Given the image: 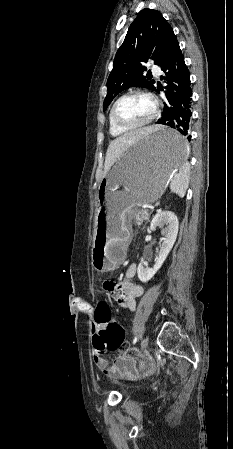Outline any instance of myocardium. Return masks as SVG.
<instances>
[{"label": "myocardium", "instance_id": "myocardium-1", "mask_svg": "<svg viewBox=\"0 0 233 449\" xmlns=\"http://www.w3.org/2000/svg\"><path fill=\"white\" fill-rule=\"evenodd\" d=\"M135 95L144 96V97H147L148 99H150V101L152 102V105H153L152 113L145 121H142L137 124L128 125V124L121 123L120 121L117 120V118L115 116L116 107H117L118 103L121 100H123L124 98L130 97V96H135ZM157 114H158V102L152 94H150L149 92L143 91V90H132V91L124 93L123 95H121L119 98H117L115 100V102L113 103V105L110 109L109 116H110L111 122L118 129L124 130V131H130V130L140 129L145 126H148L155 120V118L157 117Z\"/></svg>", "mask_w": 233, "mask_h": 449}]
</instances>
